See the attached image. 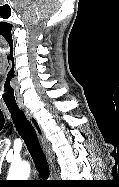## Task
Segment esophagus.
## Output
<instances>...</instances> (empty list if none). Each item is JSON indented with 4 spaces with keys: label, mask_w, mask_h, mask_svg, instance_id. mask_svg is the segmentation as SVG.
Wrapping results in <instances>:
<instances>
[{
    "label": "esophagus",
    "mask_w": 119,
    "mask_h": 187,
    "mask_svg": "<svg viewBox=\"0 0 119 187\" xmlns=\"http://www.w3.org/2000/svg\"><path fill=\"white\" fill-rule=\"evenodd\" d=\"M20 108L25 113L26 117L28 118L30 123L35 128L36 133H37L39 140L41 142V145L43 147V150L46 154L47 160L49 162L50 169H51V176L55 177L56 170H55V165H54V156H53V153L51 150L50 143L48 142L41 125L39 124V122L36 119V117L34 116V114L27 107H25L24 105H20Z\"/></svg>",
    "instance_id": "esophagus-1"
}]
</instances>
